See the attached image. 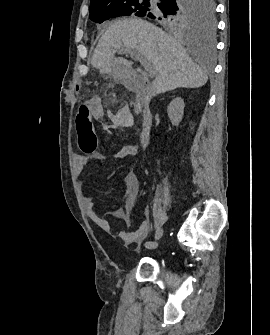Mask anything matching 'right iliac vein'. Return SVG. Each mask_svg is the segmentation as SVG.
Here are the masks:
<instances>
[{
	"label": "right iliac vein",
	"mask_w": 270,
	"mask_h": 335,
	"mask_svg": "<svg viewBox=\"0 0 270 335\" xmlns=\"http://www.w3.org/2000/svg\"><path fill=\"white\" fill-rule=\"evenodd\" d=\"M163 233H164L163 228H159L155 233V237H154L155 241L159 240L162 237Z\"/></svg>",
	"instance_id": "obj_1"
}]
</instances>
